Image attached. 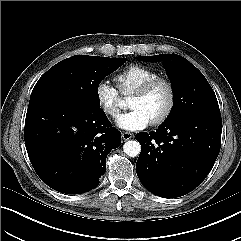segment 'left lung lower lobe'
<instances>
[{"label":"left lung lower lobe","instance_id":"left-lung-lower-lobe-1","mask_svg":"<svg viewBox=\"0 0 241 241\" xmlns=\"http://www.w3.org/2000/svg\"><path fill=\"white\" fill-rule=\"evenodd\" d=\"M221 115L188 114L141 132L136 171L143 186L164 197L183 196L209 174L220 151Z\"/></svg>","mask_w":241,"mask_h":241}]
</instances>
